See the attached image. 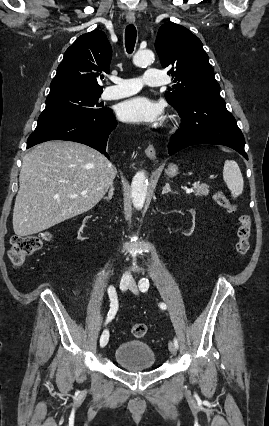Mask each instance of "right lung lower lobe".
I'll return each mask as SVG.
<instances>
[{
	"mask_svg": "<svg viewBox=\"0 0 269 426\" xmlns=\"http://www.w3.org/2000/svg\"><path fill=\"white\" fill-rule=\"evenodd\" d=\"M98 114L34 131L28 138L27 148L49 140H68L86 144L109 158L107 140L117 121L110 108Z\"/></svg>",
	"mask_w": 269,
	"mask_h": 426,
	"instance_id": "right-lung-lower-lobe-1",
	"label": "right lung lower lobe"
}]
</instances>
